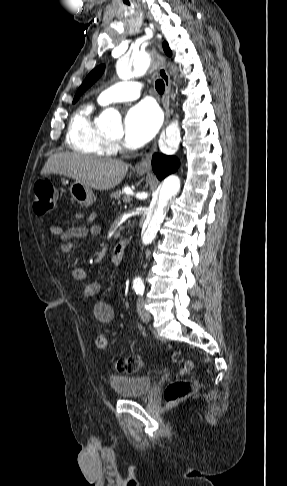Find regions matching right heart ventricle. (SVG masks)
I'll return each mask as SVG.
<instances>
[{
    "instance_id": "e07e8e85",
    "label": "right heart ventricle",
    "mask_w": 287,
    "mask_h": 486,
    "mask_svg": "<svg viewBox=\"0 0 287 486\" xmlns=\"http://www.w3.org/2000/svg\"><path fill=\"white\" fill-rule=\"evenodd\" d=\"M94 106L86 104L79 108L71 117L66 143L78 153L103 157L113 152V146L100 131L94 121Z\"/></svg>"
}]
</instances>
